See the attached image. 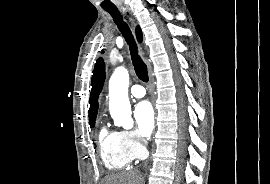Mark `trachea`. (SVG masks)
<instances>
[{"label":"trachea","mask_w":270,"mask_h":184,"mask_svg":"<svg viewBox=\"0 0 270 184\" xmlns=\"http://www.w3.org/2000/svg\"><path fill=\"white\" fill-rule=\"evenodd\" d=\"M106 11L110 13V15L113 17L114 22L117 24L119 30L121 31L122 35L130 46L132 61L135 67L136 75L140 80L148 82L147 66L141 60L140 56L137 55V45L134 41L129 26L123 21V17L121 16L118 9H108Z\"/></svg>","instance_id":"1"}]
</instances>
